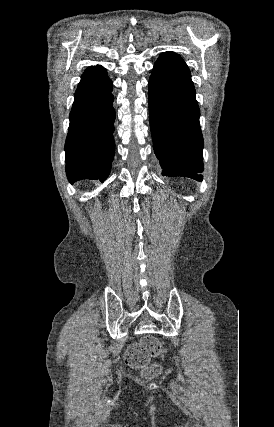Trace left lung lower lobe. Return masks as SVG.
I'll return each mask as SVG.
<instances>
[{
	"label": "left lung lower lobe",
	"instance_id": "0a47b994",
	"mask_svg": "<svg viewBox=\"0 0 274 427\" xmlns=\"http://www.w3.org/2000/svg\"><path fill=\"white\" fill-rule=\"evenodd\" d=\"M190 71L174 52L161 54L149 80L153 148L162 175L202 181L203 137Z\"/></svg>",
	"mask_w": 274,
	"mask_h": 427
}]
</instances>
